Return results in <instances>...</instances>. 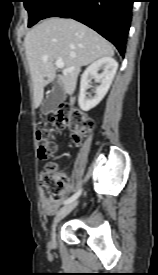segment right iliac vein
Returning a JSON list of instances; mask_svg holds the SVG:
<instances>
[{
    "label": "right iliac vein",
    "mask_w": 158,
    "mask_h": 275,
    "mask_svg": "<svg viewBox=\"0 0 158 275\" xmlns=\"http://www.w3.org/2000/svg\"><path fill=\"white\" fill-rule=\"evenodd\" d=\"M77 206V201L71 202L64 207H62L56 214L53 224H52V230H51V243L55 244L56 243V226L58 222L63 219L66 215H68L75 207Z\"/></svg>",
    "instance_id": "obj_1"
}]
</instances>
